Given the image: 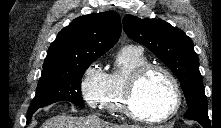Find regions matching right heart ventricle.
<instances>
[{"label":"right heart ventricle","instance_id":"right-heart-ventricle-1","mask_svg":"<svg viewBox=\"0 0 221 128\" xmlns=\"http://www.w3.org/2000/svg\"><path fill=\"white\" fill-rule=\"evenodd\" d=\"M147 63L143 50L136 46H126L117 53L110 71L106 74L99 100L103 112L125 114L124 93L127 82L136 69Z\"/></svg>","mask_w":221,"mask_h":128}]
</instances>
